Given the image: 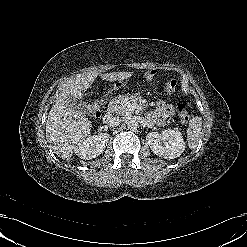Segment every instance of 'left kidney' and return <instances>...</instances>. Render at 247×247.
Returning a JSON list of instances; mask_svg holds the SVG:
<instances>
[{
  "label": "left kidney",
  "mask_w": 247,
  "mask_h": 247,
  "mask_svg": "<svg viewBox=\"0 0 247 247\" xmlns=\"http://www.w3.org/2000/svg\"><path fill=\"white\" fill-rule=\"evenodd\" d=\"M146 141L153 153L165 159L177 158L185 150V142L179 130L150 132L146 136Z\"/></svg>",
  "instance_id": "5707ae66"
}]
</instances>
